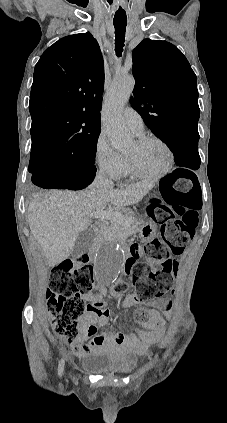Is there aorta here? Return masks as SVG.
I'll return each mask as SVG.
<instances>
[{
    "mask_svg": "<svg viewBox=\"0 0 227 423\" xmlns=\"http://www.w3.org/2000/svg\"><path fill=\"white\" fill-rule=\"evenodd\" d=\"M134 78L116 76L108 89L102 108V125L111 145L118 150L128 147L132 136L126 128L122 112L134 89ZM123 267V250L118 243L100 247L95 257V275L101 283L114 282Z\"/></svg>",
    "mask_w": 227,
    "mask_h": 423,
    "instance_id": "1",
    "label": "aorta"
}]
</instances>
